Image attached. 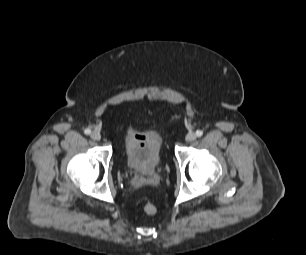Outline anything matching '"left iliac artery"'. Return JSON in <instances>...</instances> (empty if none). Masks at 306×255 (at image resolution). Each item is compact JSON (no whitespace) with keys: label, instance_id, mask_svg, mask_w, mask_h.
I'll use <instances>...</instances> for the list:
<instances>
[{"label":"left iliac artery","instance_id":"left-iliac-artery-1","mask_svg":"<svg viewBox=\"0 0 306 255\" xmlns=\"http://www.w3.org/2000/svg\"><path fill=\"white\" fill-rule=\"evenodd\" d=\"M203 135V131L202 130H197L196 131V136L197 137H201Z\"/></svg>","mask_w":306,"mask_h":255}]
</instances>
